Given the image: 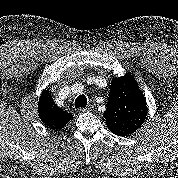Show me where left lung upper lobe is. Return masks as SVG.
<instances>
[{"label": "left lung upper lobe", "mask_w": 178, "mask_h": 178, "mask_svg": "<svg viewBox=\"0 0 178 178\" xmlns=\"http://www.w3.org/2000/svg\"><path fill=\"white\" fill-rule=\"evenodd\" d=\"M106 107L104 117L107 127L128 134L139 129L147 117L144 95L129 73L112 79Z\"/></svg>", "instance_id": "obj_1"}]
</instances>
